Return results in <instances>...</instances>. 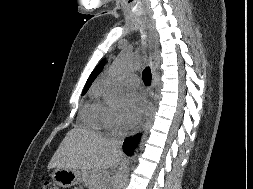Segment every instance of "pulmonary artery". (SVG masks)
Returning <instances> with one entry per match:
<instances>
[{"instance_id":"1","label":"pulmonary artery","mask_w":253,"mask_h":189,"mask_svg":"<svg viewBox=\"0 0 253 189\" xmlns=\"http://www.w3.org/2000/svg\"><path fill=\"white\" fill-rule=\"evenodd\" d=\"M127 82L130 84V85H137L138 84V79L135 75H130L128 78H127Z\"/></svg>"}]
</instances>
